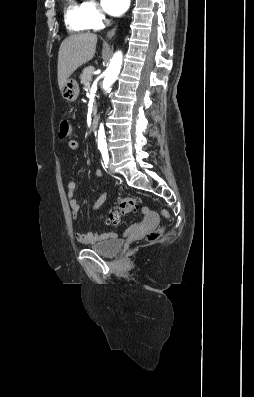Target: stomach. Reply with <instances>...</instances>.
Instances as JSON below:
<instances>
[{
	"mask_svg": "<svg viewBox=\"0 0 254 397\" xmlns=\"http://www.w3.org/2000/svg\"><path fill=\"white\" fill-rule=\"evenodd\" d=\"M79 85L77 81L73 78H70L66 81L65 85L63 86L61 90V95L63 99H65L68 102H74L78 95H79Z\"/></svg>",
	"mask_w": 254,
	"mask_h": 397,
	"instance_id": "obj_1",
	"label": "stomach"
}]
</instances>
